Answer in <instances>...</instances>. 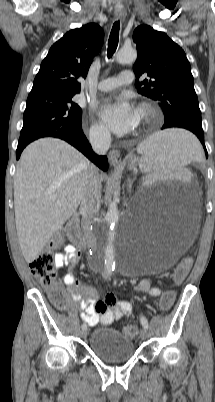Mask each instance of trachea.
Wrapping results in <instances>:
<instances>
[{
	"instance_id": "obj_1",
	"label": "trachea",
	"mask_w": 215,
	"mask_h": 402,
	"mask_svg": "<svg viewBox=\"0 0 215 402\" xmlns=\"http://www.w3.org/2000/svg\"><path fill=\"white\" fill-rule=\"evenodd\" d=\"M119 30H120V22L116 21L113 24L110 36H109V41H108V52L107 56L108 58H111L114 52L116 51V48L118 46V41H119Z\"/></svg>"
}]
</instances>
